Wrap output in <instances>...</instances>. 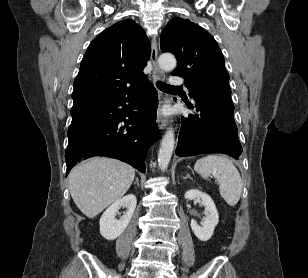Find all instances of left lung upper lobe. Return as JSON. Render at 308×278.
Wrapping results in <instances>:
<instances>
[{
    "label": "left lung upper lobe",
    "mask_w": 308,
    "mask_h": 278,
    "mask_svg": "<svg viewBox=\"0 0 308 278\" xmlns=\"http://www.w3.org/2000/svg\"><path fill=\"white\" fill-rule=\"evenodd\" d=\"M160 47L175 55L178 66L172 75L185 79L190 96L203 88L228 82L223 54L215 39L190 20L174 18L164 28Z\"/></svg>",
    "instance_id": "1"
}]
</instances>
